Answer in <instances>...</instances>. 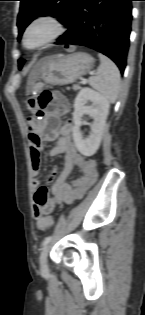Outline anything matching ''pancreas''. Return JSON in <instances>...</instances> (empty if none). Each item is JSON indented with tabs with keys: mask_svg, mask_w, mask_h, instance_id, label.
I'll return each instance as SVG.
<instances>
[{
	"mask_svg": "<svg viewBox=\"0 0 145 315\" xmlns=\"http://www.w3.org/2000/svg\"><path fill=\"white\" fill-rule=\"evenodd\" d=\"M73 89L75 91H77V90L81 89V87L79 85L75 84V85H73Z\"/></svg>",
	"mask_w": 145,
	"mask_h": 315,
	"instance_id": "1",
	"label": "pancreas"
}]
</instances>
